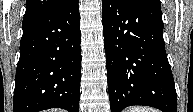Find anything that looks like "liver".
Instances as JSON below:
<instances>
[{"label":"liver","instance_id":"obj_1","mask_svg":"<svg viewBox=\"0 0 193 112\" xmlns=\"http://www.w3.org/2000/svg\"><path fill=\"white\" fill-rule=\"evenodd\" d=\"M48 112H62V111L57 109H52V110H49Z\"/></svg>","mask_w":193,"mask_h":112}]
</instances>
